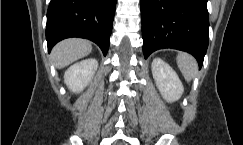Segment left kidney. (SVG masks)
Instances as JSON below:
<instances>
[{
  "instance_id": "5707ae66",
  "label": "left kidney",
  "mask_w": 243,
  "mask_h": 145,
  "mask_svg": "<svg viewBox=\"0 0 243 145\" xmlns=\"http://www.w3.org/2000/svg\"><path fill=\"white\" fill-rule=\"evenodd\" d=\"M152 75L161 95L167 102L180 99L184 87L176 72L165 61L155 58L152 61Z\"/></svg>"
}]
</instances>
